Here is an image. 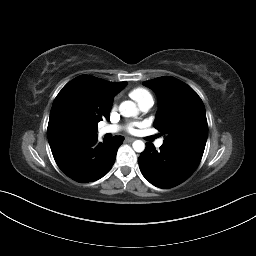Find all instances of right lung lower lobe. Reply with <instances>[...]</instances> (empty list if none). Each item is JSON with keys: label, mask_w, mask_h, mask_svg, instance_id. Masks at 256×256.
<instances>
[{"label": "right lung lower lobe", "mask_w": 256, "mask_h": 256, "mask_svg": "<svg viewBox=\"0 0 256 256\" xmlns=\"http://www.w3.org/2000/svg\"><path fill=\"white\" fill-rule=\"evenodd\" d=\"M97 136H78L51 146L59 168L71 179L86 183L96 181L111 169L124 137L114 136L104 143Z\"/></svg>", "instance_id": "98d812e1"}]
</instances>
